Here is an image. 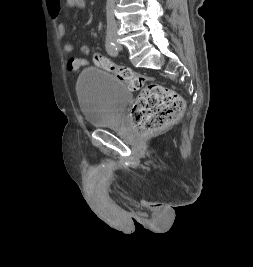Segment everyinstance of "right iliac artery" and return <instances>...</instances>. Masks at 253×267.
<instances>
[{"mask_svg":"<svg viewBox=\"0 0 253 267\" xmlns=\"http://www.w3.org/2000/svg\"><path fill=\"white\" fill-rule=\"evenodd\" d=\"M105 48L108 54L112 57H115L118 55V49L117 46L111 41L110 37L107 35L106 41H105Z\"/></svg>","mask_w":253,"mask_h":267,"instance_id":"82829eb1","label":"right iliac artery"}]
</instances>
